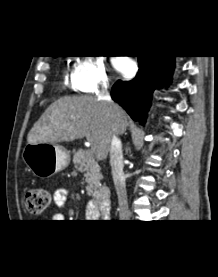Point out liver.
<instances>
[{"instance_id": "1", "label": "liver", "mask_w": 218, "mask_h": 277, "mask_svg": "<svg viewBox=\"0 0 218 277\" xmlns=\"http://www.w3.org/2000/svg\"><path fill=\"white\" fill-rule=\"evenodd\" d=\"M127 124V115L119 106L114 112L108 103L91 96L64 97L46 109L30 130L27 141L56 144L86 137L97 159L103 160L113 135L124 133Z\"/></svg>"}]
</instances>
